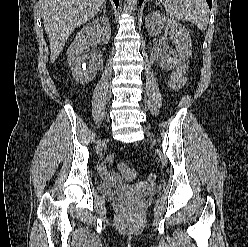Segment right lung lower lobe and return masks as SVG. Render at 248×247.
<instances>
[{
  "instance_id": "98d812e1",
  "label": "right lung lower lobe",
  "mask_w": 248,
  "mask_h": 247,
  "mask_svg": "<svg viewBox=\"0 0 248 247\" xmlns=\"http://www.w3.org/2000/svg\"><path fill=\"white\" fill-rule=\"evenodd\" d=\"M113 1H114V3H115L116 7H118V5H119V0H113Z\"/></svg>"
}]
</instances>
